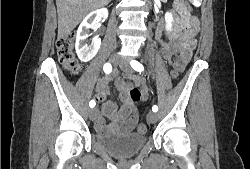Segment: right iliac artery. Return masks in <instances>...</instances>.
<instances>
[{
	"label": "right iliac artery",
	"mask_w": 250,
	"mask_h": 169,
	"mask_svg": "<svg viewBox=\"0 0 250 169\" xmlns=\"http://www.w3.org/2000/svg\"><path fill=\"white\" fill-rule=\"evenodd\" d=\"M103 70H104V72H105L106 74H110L111 71H112V66H111V64H110V63H105L104 66H103ZM95 105H96V103H95L94 100H91V101L89 102V106H90L91 108H93Z\"/></svg>",
	"instance_id": "1"
}]
</instances>
